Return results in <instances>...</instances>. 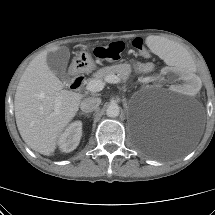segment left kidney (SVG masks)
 I'll use <instances>...</instances> for the list:
<instances>
[{"label":"left kidney","mask_w":215,"mask_h":215,"mask_svg":"<svg viewBox=\"0 0 215 215\" xmlns=\"http://www.w3.org/2000/svg\"><path fill=\"white\" fill-rule=\"evenodd\" d=\"M163 78L173 82V90L175 92H182L186 89L189 94L196 95L200 91V77L182 72L180 69H165L163 71Z\"/></svg>","instance_id":"1"}]
</instances>
